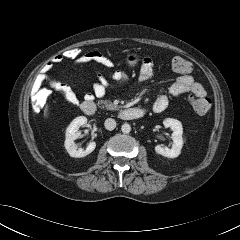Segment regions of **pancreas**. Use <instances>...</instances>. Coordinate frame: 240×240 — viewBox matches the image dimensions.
<instances>
[{"label":"pancreas","mask_w":240,"mask_h":240,"mask_svg":"<svg viewBox=\"0 0 240 240\" xmlns=\"http://www.w3.org/2000/svg\"><path fill=\"white\" fill-rule=\"evenodd\" d=\"M99 105H101L102 108H106L108 110H118V106L112 103L110 100H100L98 102Z\"/></svg>","instance_id":"pancreas-1"}]
</instances>
